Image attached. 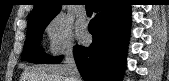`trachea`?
Instances as JSON below:
<instances>
[{
    "label": "trachea",
    "mask_w": 169,
    "mask_h": 81,
    "mask_svg": "<svg viewBox=\"0 0 169 81\" xmlns=\"http://www.w3.org/2000/svg\"><path fill=\"white\" fill-rule=\"evenodd\" d=\"M84 5H85L87 10H91L94 7V4H93L92 1H86Z\"/></svg>",
    "instance_id": "obj_1"
}]
</instances>
